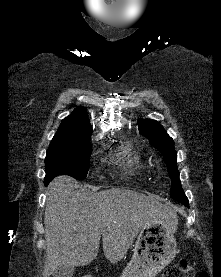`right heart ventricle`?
I'll list each match as a JSON object with an SVG mask.
<instances>
[{
  "mask_svg": "<svg viewBox=\"0 0 221 277\" xmlns=\"http://www.w3.org/2000/svg\"><path fill=\"white\" fill-rule=\"evenodd\" d=\"M122 156L126 163L136 170H142L145 167V162L140 154L136 153L132 149L127 148L122 152Z\"/></svg>",
  "mask_w": 221,
  "mask_h": 277,
  "instance_id": "right-heart-ventricle-1",
  "label": "right heart ventricle"
}]
</instances>
